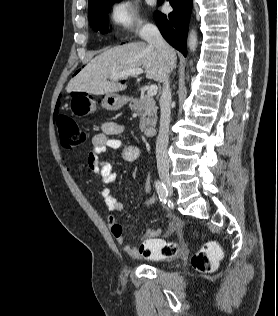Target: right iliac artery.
Instances as JSON below:
<instances>
[{
	"label": "right iliac artery",
	"instance_id": "1",
	"mask_svg": "<svg viewBox=\"0 0 278 316\" xmlns=\"http://www.w3.org/2000/svg\"><path fill=\"white\" fill-rule=\"evenodd\" d=\"M155 188L157 190V194L159 196V199L161 201V203L164 205L167 202V196H168V191L166 186L160 182L159 180H157L155 182Z\"/></svg>",
	"mask_w": 278,
	"mask_h": 316
}]
</instances>
